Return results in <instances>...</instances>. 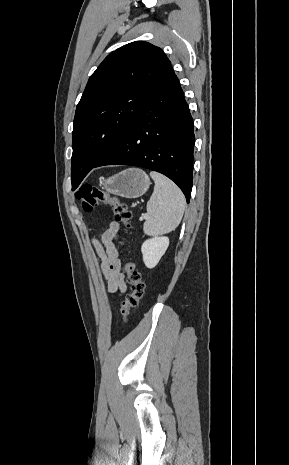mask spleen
<instances>
[{"mask_svg": "<svg viewBox=\"0 0 289 465\" xmlns=\"http://www.w3.org/2000/svg\"><path fill=\"white\" fill-rule=\"evenodd\" d=\"M154 191L147 203L143 231L146 235L167 234L177 228L183 217L185 197L177 185L166 176L151 172Z\"/></svg>", "mask_w": 289, "mask_h": 465, "instance_id": "spleen-1", "label": "spleen"}]
</instances>
